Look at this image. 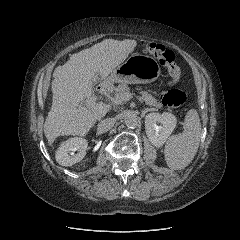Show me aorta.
Segmentation results:
<instances>
[{
	"label": "aorta",
	"instance_id": "1",
	"mask_svg": "<svg viewBox=\"0 0 240 240\" xmlns=\"http://www.w3.org/2000/svg\"><path fill=\"white\" fill-rule=\"evenodd\" d=\"M124 123L128 128H134L138 124L137 116L132 113H126L124 115Z\"/></svg>",
	"mask_w": 240,
	"mask_h": 240
}]
</instances>
